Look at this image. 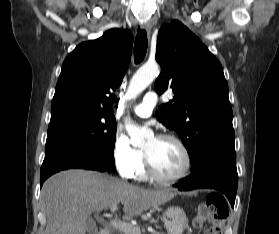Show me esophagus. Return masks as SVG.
Returning <instances> with one entry per match:
<instances>
[{"label":"esophagus","instance_id":"1","mask_svg":"<svg viewBox=\"0 0 279 234\" xmlns=\"http://www.w3.org/2000/svg\"><path fill=\"white\" fill-rule=\"evenodd\" d=\"M140 28L144 29L147 34L150 36L152 25L150 22H145L140 25Z\"/></svg>","mask_w":279,"mask_h":234}]
</instances>
